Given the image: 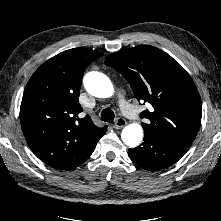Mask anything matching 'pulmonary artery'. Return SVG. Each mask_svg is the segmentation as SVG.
Listing matches in <instances>:
<instances>
[{
	"mask_svg": "<svg viewBox=\"0 0 221 221\" xmlns=\"http://www.w3.org/2000/svg\"><path fill=\"white\" fill-rule=\"evenodd\" d=\"M120 106H121L123 112L127 116H129L132 119H137V114H136L135 110L129 104H127L125 101L121 100Z\"/></svg>",
	"mask_w": 221,
	"mask_h": 221,
	"instance_id": "obj_1",
	"label": "pulmonary artery"
}]
</instances>
